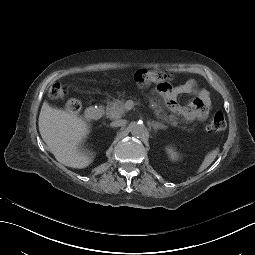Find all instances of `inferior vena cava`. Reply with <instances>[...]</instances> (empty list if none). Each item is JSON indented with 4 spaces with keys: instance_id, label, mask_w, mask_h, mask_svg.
<instances>
[{
    "instance_id": "obj_1",
    "label": "inferior vena cava",
    "mask_w": 255,
    "mask_h": 255,
    "mask_svg": "<svg viewBox=\"0 0 255 255\" xmlns=\"http://www.w3.org/2000/svg\"><path fill=\"white\" fill-rule=\"evenodd\" d=\"M124 125V121L123 120H116V121H113L110 126L111 127H120V126H123Z\"/></svg>"
}]
</instances>
